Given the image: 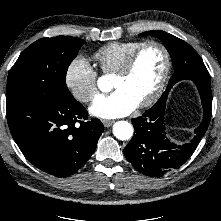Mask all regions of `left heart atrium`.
<instances>
[{
  "label": "left heart atrium",
  "mask_w": 221,
  "mask_h": 221,
  "mask_svg": "<svg viewBox=\"0 0 221 221\" xmlns=\"http://www.w3.org/2000/svg\"><path fill=\"white\" fill-rule=\"evenodd\" d=\"M138 104L123 90L116 89L109 95L97 96L90 111L102 118H117L131 113Z\"/></svg>",
  "instance_id": "left-heart-atrium-1"
}]
</instances>
